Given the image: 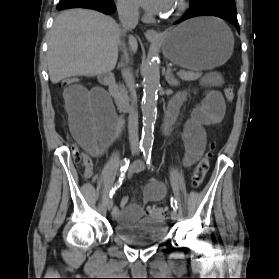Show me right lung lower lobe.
I'll return each mask as SVG.
<instances>
[{
    "label": "right lung lower lobe",
    "mask_w": 279,
    "mask_h": 279,
    "mask_svg": "<svg viewBox=\"0 0 279 279\" xmlns=\"http://www.w3.org/2000/svg\"><path fill=\"white\" fill-rule=\"evenodd\" d=\"M77 7L94 9L105 14H111L116 10L113 2L108 0H60L57 9L62 10Z\"/></svg>",
    "instance_id": "right-lung-lower-lobe-1"
}]
</instances>
